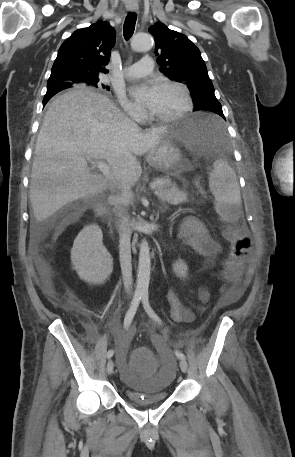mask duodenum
<instances>
[{"mask_svg":"<svg viewBox=\"0 0 295 457\" xmlns=\"http://www.w3.org/2000/svg\"><path fill=\"white\" fill-rule=\"evenodd\" d=\"M95 214L97 216V218L103 223L105 224L106 223V211H105V206L103 203H98L96 204L95 206Z\"/></svg>","mask_w":295,"mask_h":457,"instance_id":"obj_1","label":"duodenum"}]
</instances>
